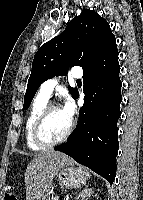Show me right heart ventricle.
<instances>
[{"instance_id":"1","label":"right heart ventricle","mask_w":143,"mask_h":200,"mask_svg":"<svg viewBox=\"0 0 143 200\" xmlns=\"http://www.w3.org/2000/svg\"><path fill=\"white\" fill-rule=\"evenodd\" d=\"M48 100L49 98L38 93L31 104V107L29 109L27 119L25 122L26 144L31 150H34V151H40L44 149L43 147L37 145L34 142L33 137H32V128L36 119L38 118L42 110L45 108V106L48 104Z\"/></svg>"}]
</instances>
